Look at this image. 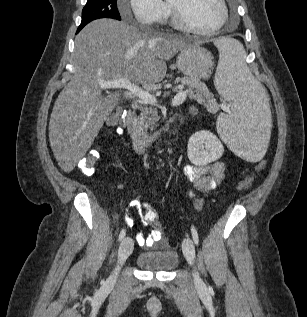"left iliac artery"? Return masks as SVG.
<instances>
[{
	"label": "left iliac artery",
	"mask_w": 307,
	"mask_h": 317,
	"mask_svg": "<svg viewBox=\"0 0 307 317\" xmlns=\"http://www.w3.org/2000/svg\"><path fill=\"white\" fill-rule=\"evenodd\" d=\"M191 232H192V237H193V240H194L195 244L198 245L199 244L198 233H197L196 229L193 226L191 228Z\"/></svg>",
	"instance_id": "obj_1"
}]
</instances>
